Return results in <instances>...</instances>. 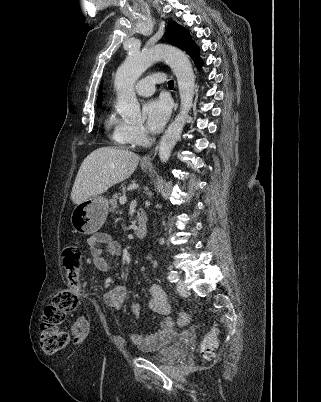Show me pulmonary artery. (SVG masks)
Instances as JSON below:
<instances>
[{"label": "pulmonary artery", "instance_id": "pulmonary-artery-1", "mask_svg": "<svg viewBox=\"0 0 321 402\" xmlns=\"http://www.w3.org/2000/svg\"><path fill=\"white\" fill-rule=\"evenodd\" d=\"M165 77L161 73H157L139 80L135 85V91L141 96L152 95L155 91V84H162Z\"/></svg>", "mask_w": 321, "mask_h": 402}]
</instances>
